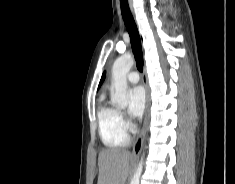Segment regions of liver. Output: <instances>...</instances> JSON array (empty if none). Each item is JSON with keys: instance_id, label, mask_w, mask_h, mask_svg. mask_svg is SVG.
Segmentation results:
<instances>
[{"instance_id": "liver-1", "label": "liver", "mask_w": 235, "mask_h": 184, "mask_svg": "<svg viewBox=\"0 0 235 184\" xmlns=\"http://www.w3.org/2000/svg\"><path fill=\"white\" fill-rule=\"evenodd\" d=\"M130 152L123 148L102 150L98 158V184H125L129 174Z\"/></svg>"}]
</instances>
